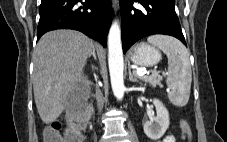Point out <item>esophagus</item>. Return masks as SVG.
I'll return each mask as SVG.
<instances>
[{
  "mask_svg": "<svg viewBox=\"0 0 227 142\" xmlns=\"http://www.w3.org/2000/svg\"><path fill=\"white\" fill-rule=\"evenodd\" d=\"M118 2H119L118 0H112V7L115 12L118 9Z\"/></svg>",
  "mask_w": 227,
  "mask_h": 142,
  "instance_id": "obj_1",
  "label": "esophagus"
}]
</instances>
